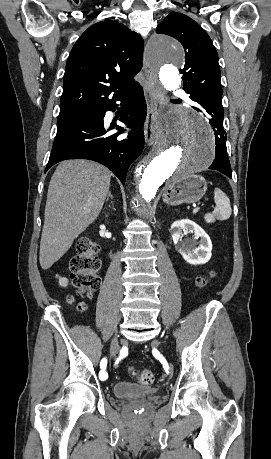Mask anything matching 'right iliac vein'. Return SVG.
Instances as JSON below:
<instances>
[{
    "label": "right iliac vein",
    "instance_id": "right-iliac-vein-1",
    "mask_svg": "<svg viewBox=\"0 0 271 459\" xmlns=\"http://www.w3.org/2000/svg\"><path fill=\"white\" fill-rule=\"evenodd\" d=\"M118 350H119L118 340L114 339L111 343V355L113 357H116Z\"/></svg>",
    "mask_w": 271,
    "mask_h": 459
}]
</instances>
